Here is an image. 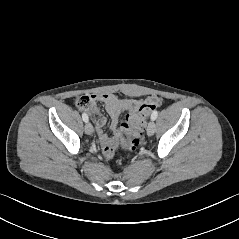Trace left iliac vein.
I'll list each match as a JSON object with an SVG mask.
<instances>
[{"mask_svg": "<svg viewBox=\"0 0 239 239\" xmlns=\"http://www.w3.org/2000/svg\"><path fill=\"white\" fill-rule=\"evenodd\" d=\"M156 125L154 123V120L150 121L147 126V135L152 136L155 133Z\"/></svg>", "mask_w": 239, "mask_h": 239, "instance_id": "left-iliac-vein-1", "label": "left iliac vein"}]
</instances>
